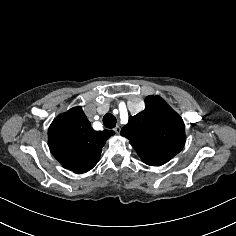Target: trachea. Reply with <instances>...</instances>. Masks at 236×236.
Returning a JSON list of instances; mask_svg holds the SVG:
<instances>
[{
    "instance_id": "1",
    "label": "trachea",
    "mask_w": 236,
    "mask_h": 236,
    "mask_svg": "<svg viewBox=\"0 0 236 236\" xmlns=\"http://www.w3.org/2000/svg\"><path fill=\"white\" fill-rule=\"evenodd\" d=\"M117 119L111 114L107 113L103 117V124L106 128H114L116 126Z\"/></svg>"
}]
</instances>
